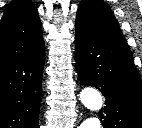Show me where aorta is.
<instances>
[{"instance_id":"1","label":"aorta","mask_w":142,"mask_h":128,"mask_svg":"<svg viewBox=\"0 0 142 128\" xmlns=\"http://www.w3.org/2000/svg\"><path fill=\"white\" fill-rule=\"evenodd\" d=\"M80 100L91 111H99L103 106L101 94L91 87L81 91ZM80 128H101V123L98 117H90L81 123Z\"/></svg>"}]
</instances>
